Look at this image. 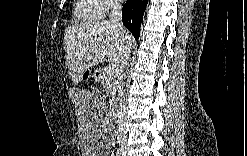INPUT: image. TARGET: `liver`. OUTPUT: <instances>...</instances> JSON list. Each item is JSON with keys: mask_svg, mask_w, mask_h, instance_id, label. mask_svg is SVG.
<instances>
[{"mask_svg": "<svg viewBox=\"0 0 247 156\" xmlns=\"http://www.w3.org/2000/svg\"><path fill=\"white\" fill-rule=\"evenodd\" d=\"M132 37L125 29L110 21H88L75 23L66 28L64 49L69 74L77 84L90 67L108 60L119 64L124 51L130 47Z\"/></svg>", "mask_w": 247, "mask_h": 156, "instance_id": "6515ba94", "label": "liver"}]
</instances>
